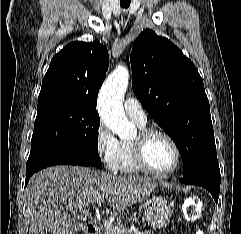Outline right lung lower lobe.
Listing matches in <instances>:
<instances>
[{"instance_id": "obj_1", "label": "right lung lower lobe", "mask_w": 241, "mask_h": 234, "mask_svg": "<svg viewBox=\"0 0 241 234\" xmlns=\"http://www.w3.org/2000/svg\"><path fill=\"white\" fill-rule=\"evenodd\" d=\"M91 166V163L79 154L66 148L51 147L30 154L26 164V181L28 183L33 173L52 165Z\"/></svg>"}]
</instances>
